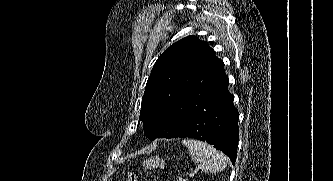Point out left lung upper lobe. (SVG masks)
<instances>
[{"label":"left lung upper lobe","mask_w":333,"mask_h":181,"mask_svg":"<svg viewBox=\"0 0 333 181\" xmlns=\"http://www.w3.org/2000/svg\"><path fill=\"white\" fill-rule=\"evenodd\" d=\"M226 76L224 63L197 36H187L159 56L148 78L140 119L148 139L172 136L173 125L198 111Z\"/></svg>","instance_id":"5c2ea615"}]
</instances>
